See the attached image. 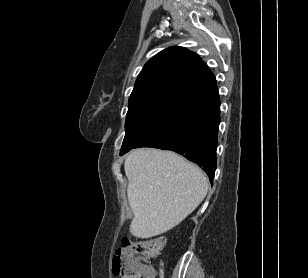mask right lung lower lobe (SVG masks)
Returning <instances> with one entry per match:
<instances>
[{
	"label": "right lung lower lobe",
	"mask_w": 308,
	"mask_h": 278,
	"mask_svg": "<svg viewBox=\"0 0 308 278\" xmlns=\"http://www.w3.org/2000/svg\"><path fill=\"white\" fill-rule=\"evenodd\" d=\"M220 123L218 91L177 113L162 129L138 144L175 151L202 166L212 183Z\"/></svg>",
	"instance_id": "right-lung-lower-lobe-1"
}]
</instances>
